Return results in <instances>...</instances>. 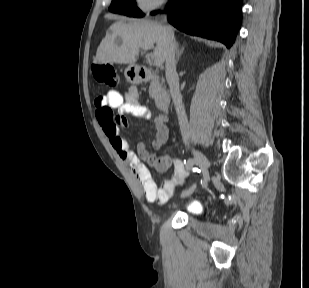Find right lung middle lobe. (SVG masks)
I'll return each instance as SVG.
<instances>
[{
	"instance_id": "obj_1",
	"label": "right lung middle lobe",
	"mask_w": 309,
	"mask_h": 288,
	"mask_svg": "<svg viewBox=\"0 0 309 288\" xmlns=\"http://www.w3.org/2000/svg\"><path fill=\"white\" fill-rule=\"evenodd\" d=\"M109 10L132 17L143 16V13L137 8L135 0H112Z\"/></svg>"
}]
</instances>
